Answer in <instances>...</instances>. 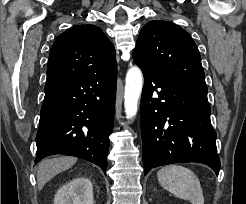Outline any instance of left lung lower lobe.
<instances>
[{"mask_svg":"<svg viewBox=\"0 0 246 204\" xmlns=\"http://www.w3.org/2000/svg\"><path fill=\"white\" fill-rule=\"evenodd\" d=\"M143 72L140 103L145 174L178 162H199L216 175L220 159L205 83Z\"/></svg>","mask_w":246,"mask_h":204,"instance_id":"0a47b994","label":"left lung lower lobe"}]
</instances>
